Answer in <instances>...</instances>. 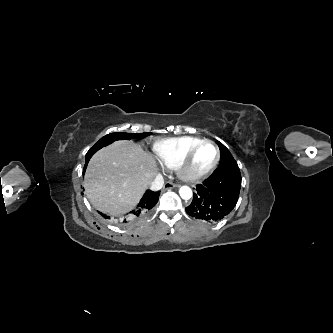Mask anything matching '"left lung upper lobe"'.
<instances>
[{"mask_svg": "<svg viewBox=\"0 0 333 333\" xmlns=\"http://www.w3.org/2000/svg\"><path fill=\"white\" fill-rule=\"evenodd\" d=\"M218 146H219L220 153H221V159H220L218 169L236 165L237 163H236L235 159L233 158V156L231 155V153L229 152V150L220 142L218 143Z\"/></svg>", "mask_w": 333, "mask_h": 333, "instance_id": "1", "label": "left lung upper lobe"}]
</instances>
